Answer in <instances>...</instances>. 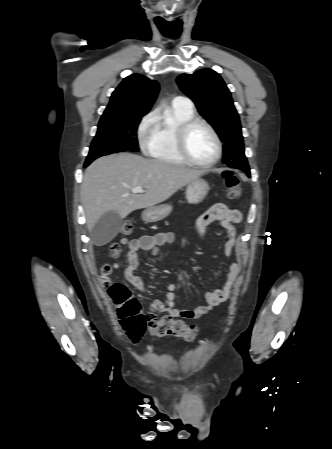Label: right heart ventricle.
I'll return each instance as SVG.
<instances>
[{
  "label": "right heart ventricle",
  "mask_w": 332,
  "mask_h": 449,
  "mask_svg": "<svg viewBox=\"0 0 332 449\" xmlns=\"http://www.w3.org/2000/svg\"><path fill=\"white\" fill-rule=\"evenodd\" d=\"M193 117V109L172 104L166 115L156 121L153 136L146 148L147 154L160 161L184 164L176 148V130L181 123Z\"/></svg>",
  "instance_id": "obj_1"
}]
</instances>
